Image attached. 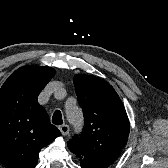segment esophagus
Wrapping results in <instances>:
<instances>
[{
  "label": "esophagus",
  "mask_w": 168,
  "mask_h": 168,
  "mask_svg": "<svg viewBox=\"0 0 168 168\" xmlns=\"http://www.w3.org/2000/svg\"><path fill=\"white\" fill-rule=\"evenodd\" d=\"M59 130L61 131L63 135H66L69 132V126L67 124H63L59 126Z\"/></svg>",
  "instance_id": "obj_1"
}]
</instances>
